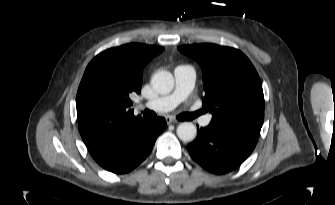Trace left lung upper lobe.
<instances>
[{
  "instance_id": "1",
  "label": "left lung upper lobe",
  "mask_w": 335,
  "mask_h": 205,
  "mask_svg": "<svg viewBox=\"0 0 335 205\" xmlns=\"http://www.w3.org/2000/svg\"><path fill=\"white\" fill-rule=\"evenodd\" d=\"M203 71V106L215 122L259 137L264 121L261 80L250 60L239 50L216 44L179 46Z\"/></svg>"
}]
</instances>
